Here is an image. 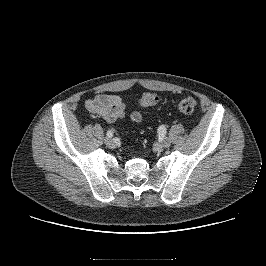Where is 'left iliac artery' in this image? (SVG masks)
<instances>
[{"instance_id":"44dca946","label":"left iliac artery","mask_w":266,"mask_h":266,"mask_svg":"<svg viewBox=\"0 0 266 266\" xmlns=\"http://www.w3.org/2000/svg\"><path fill=\"white\" fill-rule=\"evenodd\" d=\"M158 132H159L160 136L164 137L165 134H166V128H165V126H163V125L160 126L159 129H158Z\"/></svg>"}]
</instances>
